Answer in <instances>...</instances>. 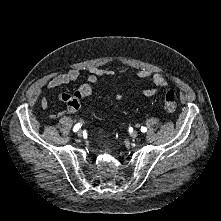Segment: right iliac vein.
Here are the masks:
<instances>
[{"instance_id":"1","label":"right iliac vein","mask_w":221,"mask_h":221,"mask_svg":"<svg viewBox=\"0 0 221 221\" xmlns=\"http://www.w3.org/2000/svg\"><path fill=\"white\" fill-rule=\"evenodd\" d=\"M77 136H78L79 138H81V137L83 136V132H82L81 130H79V131L77 132Z\"/></svg>"}]
</instances>
